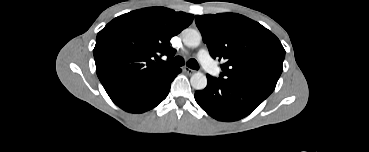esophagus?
I'll list each match as a JSON object with an SVG mask.
<instances>
[{"label":"esophagus","instance_id":"obj_1","mask_svg":"<svg viewBox=\"0 0 369 152\" xmlns=\"http://www.w3.org/2000/svg\"><path fill=\"white\" fill-rule=\"evenodd\" d=\"M183 71H184L186 74H189V75H191V74H193V73L195 72V70H193V69H191V68H189V67H184V68H183Z\"/></svg>","mask_w":369,"mask_h":152}]
</instances>
